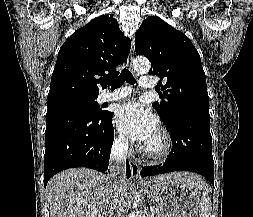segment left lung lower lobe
<instances>
[{
	"label": "left lung lower lobe",
	"mask_w": 253,
	"mask_h": 217,
	"mask_svg": "<svg viewBox=\"0 0 253 217\" xmlns=\"http://www.w3.org/2000/svg\"><path fill=\"white\" fill-rule=\"evenodd\" d=\"M172 140V150L163 165L142 167L140 175L154 176L173 171L201 174L214 186V161L210 118L184 114L166 125Z\"/></svg>",
	"instance_id": "left-lung-lower-lobe-1"
}]
</instances>
